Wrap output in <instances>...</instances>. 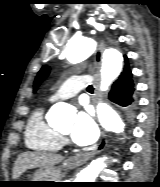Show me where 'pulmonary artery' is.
I'll use <instances>...</instances> for the list:
<instances>
[{
  "mask_svg": "<svg viewBox=\"0 0 160 187\" xmlns=\"http://www.w3.org/2000/svg\"><path fill=\"white\" fill-rule=\"evenodd\" d=\"M92 82V78L85 75H74L63 82L56 91L50 95L49 101L55 102L59 100H66L76 96L82 91L87 84Z\"/></svg>",
  "mask_w": 160,
  "mask_h": 187,
  "instance_id": "obj_1",
  "label": "pulmonary artery"
}]
</instances>
